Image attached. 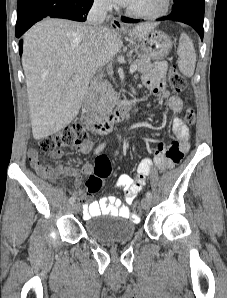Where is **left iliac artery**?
Here are the masks:
<instances>
[{
    "mask_svg": "<svg viewBox=\"0 0 227 298\" xmlns=\"http://www.w3.org/2000/svg\"><path fill=\"white\" fill-rule=\"evenodd\" d=\"M146 197L151 198V197H152V193H151L150 191H148V192L146 193Z\"/></svg>",
    "mask_w": 227,
    "mask_h": 298,
    "instance_id": "obj_1",
    "label": "left iliac artery"
}]
</instances>
